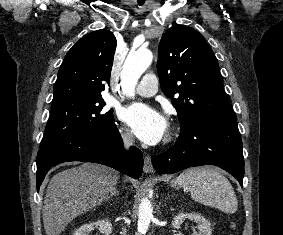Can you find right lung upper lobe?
Returning a JSON list of instances; mask_svg holds the SVG:
<instances>
[{
  "instance_id": "cb5924a9",
  "label": "right lung upper lobe",
  "mask_w": 283,
  "mask_h": 235,
  "mask_svg": "<svg viewBox=\"0 0 283 235\" xmlns=\"http://www.w3.org/2000/svg\"><path fill=\"white\" fill-rule=\"evenodd\" d=\"M116 38L109 30L86 34L66 54L54 85L53 101L101 96L110 84Z\"/></svg>"
}]
</instances>
